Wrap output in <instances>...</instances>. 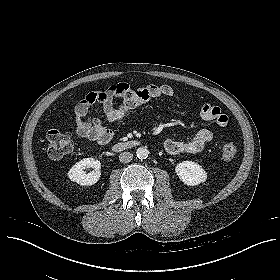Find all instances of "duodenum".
Returning a JSON list of instances; mask_svg holds the SVG:
<instances>
[{
    "instance_id": "obj_1",
    "label": "duodenum",
    "mask_w": 280,
    "mask_h": 280,
    "mask_svg": "<svg viewBox=\"0 0 280 280\" xmlns=\"http://www.w3.org/2000/svg\"><path fill=\"white\" fill-rule=\"evenodd\" d=\"M139 145H140L139 142H136V141H125V142H120V143L116 144L113 147V150L115 152H123V151H126V150L136 148Z\"/></svg>"
}]
</instances>
